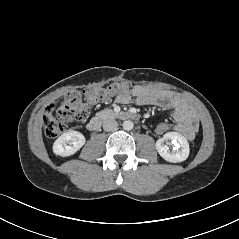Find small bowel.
Returning a JSON list of instances; mask_svg holds the SVG:
<instances>
[{
	"label": "small bowel",
	"instance_id": "small-bowel-1",
	"mask_svg": "<svg viewBox=\"0 0 239 239\" xmlns=\"http://www.w3.org/2000/svg\"><path fill=\"white\" fill-rule=\"evenodd\" d=\"M138 105H152L169 108L173 111L175 125L173 130L187 139H192L199 128V120L188 104L172 92L153 87L137 86L133 90ZM116 101L126 104L130 95H117Z\"/></svg>",
	"mask_w": 239,
	"mask_h": 239
}]
</instances>
